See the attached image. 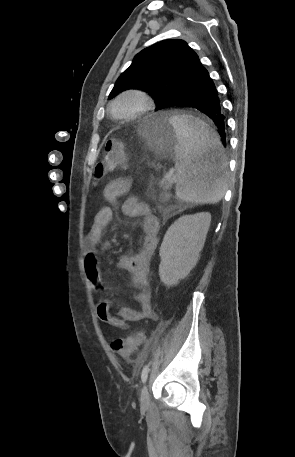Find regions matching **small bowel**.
<instances>
[{"instance_id": "obj_1", "label": "small bowel", "mask_w": 295, "mask_h": 457, "mask_svg": "<svg viewBox=\"0 0 295 457\" xmlns=\"http://www.w3.org/2000/svg\"><path fill=\"white\" fill-rule=\"evenodd\" d=\"M131 181L119 178L109 182L104 188V197L109 203L128 194ZM124 214L130 217H143L141 230L143 233L140 251L134 256H123L118 267L130 273L132 285L136 293L134 299L139 309L115 304L110 300H103L97 306L98 318L113 327L127 329L129 323L143 319L156 320L157 315L152 309V293L149 283L150 265L158 244L159 222L149 212L147 205L135 196H129L122 205ZM113 227V210L110 206L102 207L94 217L89 233L86 235V251L84 254V271L92 289L100 294L107 292L100 270L98 256L101 250L107 249L110 242L103 237L107 228ZM112 309L117 310V315L112 314Z\"/></svg>"}]
</instances>
